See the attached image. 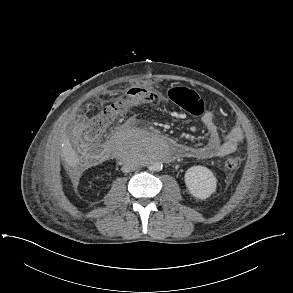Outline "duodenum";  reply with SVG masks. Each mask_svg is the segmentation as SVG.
<instances>
[{
	"label": "duodenum",
	"mask_w": 293,
	"mask_h": 293,
	"mask_svg": "<svg viewBox=\"0 0 293 293\" xmlns=\"http://www.w3.org/2000/svg\"><path fill=\"white\" fill-rule=\"evenodd\" d=\"M176 145H178V144H176ZM182 149H183L182 146H178V151H177V153L171 157L170 161H174V160H176L178 157H181V150H182Z\"/></svg>",
	"instance_id": "duodenum-1"
}]
</instances>
